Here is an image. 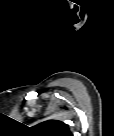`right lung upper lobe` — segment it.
<instances>
[{"instance_id": "1", "label": "right lung upper lobe", "mask_w": 114, "mask_h": 136, "mask_svg": "<svg viewBox=\"0 0 114 136\" xmlns=\"http://www.w3.org/2000/svg\"><path fill=\"white\" fill-rule=\"evenodd\" d=\"M32 132L38 136H72L69 127L59 120H47L33 127Z\"/></svg>"}]
</instances>
